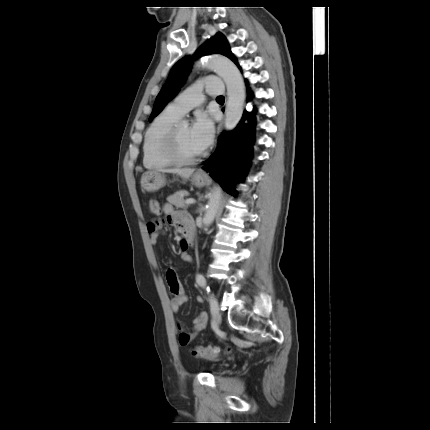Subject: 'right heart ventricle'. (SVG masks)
Returning <instances> with one entry per match:
<instances>
[{"label": "right heart ventricle", "instance_id": "right-heart-ventricle-1", "mask_svg": "<svg viewBox=\"0 0 430 430\" xmlns=\"http://www.w3.org/2000/svg\"><path fill=\"white\" fill-rule=\"evenodd\" d=\"M180 116L168 109L161 112L148 126L142 145L143 166L147 169H164L174 165L164 154L163 143Z\"/></svg>", "mask_w": 430, "mask_h": 430}]
</instances>
